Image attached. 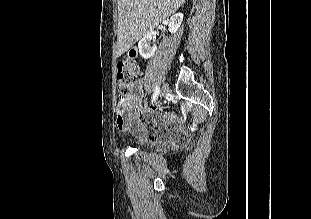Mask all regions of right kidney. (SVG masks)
Here are the masks:
<instances>
[{
    "mask_svg": "<svg viewBox=\"0 0 311 219\" xmlns=\"http://www.w3.org/2000/svg\"><path fill=\"white\" fill-rule=\"evenodd\" d=\"M183 21V14L182 13H177L173 15L170 18V21L168 23L169 25V32L171 34L176 33L178 29L180 28V25ZM156 33L155 32H150L143 36V38L139 41L138 43V48H139V54L142 58L148 59L152 57L156 51V47H152L150 42L152 39L155 38Z\"/></svg>",
    "mask_w": 311,
    "mask_h": 219,
    "instance_id": "right-kidney-1",
    "label": "right kidney"
}]
</instances>
